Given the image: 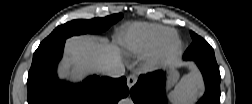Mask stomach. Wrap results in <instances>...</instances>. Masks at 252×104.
Segmentation results:
<instances>
[{
    "instance_id": "1",
    "label": "stomach",
    "mask_w": 252,
    "mask_h": 104,
    "mask_svg": "<svg viewBox=\"0 0 252 104\" xmlns=\"http://www.w3.org/2000/svg\"><path fill=\"white\" fill-rule=\"evenodd\" d=\"M178 79V73L177 72H174L171 77H170V80H169V85L172 86L176 83Z\"/></svg>"
}]
</instances>
